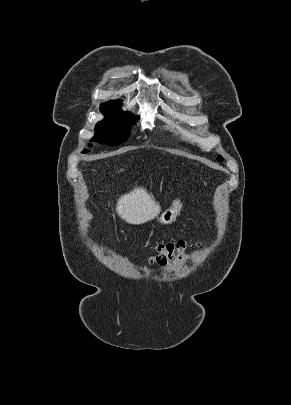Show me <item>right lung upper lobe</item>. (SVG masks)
<instances>
[{
	"mask_svg": "<svg viewBox=\"0 0 291 405\" xmlns=\"http://www.w3.org/2000/svg\"><path fill=\"white\" fill-rule=\"evenodd\" d=\"M121 104L117 102H110V103H104L101 105L100 110L103 113H130V112H124V111H119Z\"/></svg>",
	"mask_w": 291,
	"mask_h": 405,
	"instance_id": "right-lung-upper-lobe-1",
	"label": "right lung upper lobe"
}]
</instances>
